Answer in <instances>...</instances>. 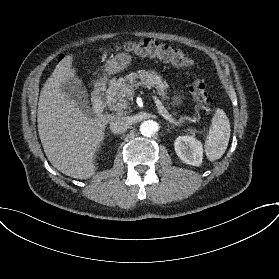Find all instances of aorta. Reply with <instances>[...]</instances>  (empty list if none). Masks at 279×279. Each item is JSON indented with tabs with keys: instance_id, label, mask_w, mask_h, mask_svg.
Masks as SVG:
<instances>
[{
	"instance_id": "1",
	"label": "aorta",
	"mask_w": 279,
	"mask_h": 279,
	"mask_svg": "<svg viewBox=\"0 0 279 279\" xmlns=\"http://www.w3.org/2000/svg\"><path fill=\"white\" fill-rule=\"evenodd\" d=\"M158 129H159L158 123L153 120L144 121L140 125L141 134L147 137L154 135L158 131Z\"/></svg>"
}]
</instances>
